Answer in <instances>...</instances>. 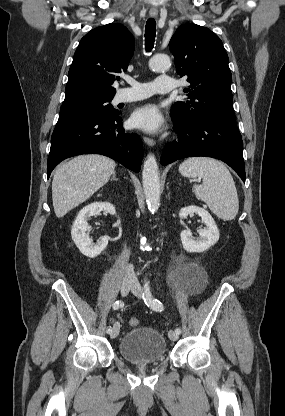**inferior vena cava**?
Wrapping results in <instances>:
<instances>
[{
    "label": "inferior vena cava",
    "instance_id": "obj_1",
    "mask_svg": "<svg viewBox=\"0 0 285 416\" xmlns=\"http://www.w3.org/2000/svg\"><path fill=\"white\" fill-rule=\"evenodd\" d=\"M126 274L127 276H135L132 264H128Z\"/></svg>",
    "mask_w": 285,
    "mask_h": 416
}]
</instances>
